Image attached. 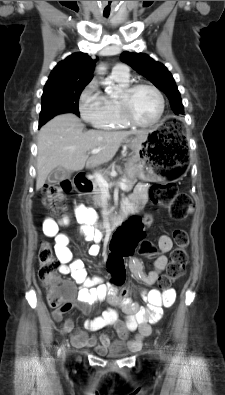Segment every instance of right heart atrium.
Segmentation results:
<instances>
[{
	"instance_id": "1",
	"label": "right heart atrium",
	"mask_w": 225,
	"mask_h": 395,
	"mask_svg": "<svg viewBox=\"0 0 225 395\" xmlns=\"http://www.w3.org/2000/svg\"><path fill=\"white\" fill-rule=\"evenodd\" d=\"M79 112L86 123L98 126L103 113V101L96 91L94 82L89 83L80 95Z\"/></svg>"
}]
</instances>
